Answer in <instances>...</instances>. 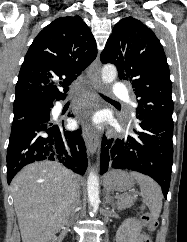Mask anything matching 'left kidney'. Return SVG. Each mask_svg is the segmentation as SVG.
I'll list each match as a JSON object with an SVG mask.
<instances>
[{
  "instance_id": "5707ae66",
  "label": "left kidney",
  "mask_w": 187,
  "mask_h": 242,
  "mask_svg": "<svg viewBox=\"0 0 187 242\" xmlns=\"http://www.w3.org/2000/svg\"><path fill=\"white\" fill-rule=\"evenodd\" d=\"M141 229L142 226L137 219H126L117 230L116 242H136V238L140 234Z\"/></svg>"
}]
</instances>
